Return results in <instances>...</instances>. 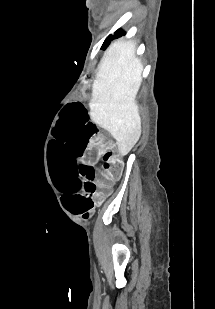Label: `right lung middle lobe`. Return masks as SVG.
Listing matches in <instances>:
<instances>
[{"label": "right lung middle lobe", "mask_w": 215, "mask_h": 309, "mask_svg": "<svg viewBox=\"0 0 215 309\" xmlns=\"http://www.w3.org/2000/svg\"><path fill=\"white\" fill-rule=\"evenodd\" d=\"M118 32H119V31H117V32L115 33V36H114V37H117ZM114 37H113L112 35H110V36L105 40V42H104L102 48H105V47L109 44V42H110Z\"/></svg>", "instance_id": "right-lung-middle-lobe-1"}]
</instances>
